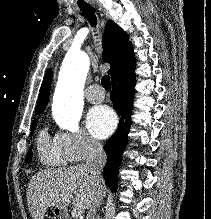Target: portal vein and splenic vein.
<instances>
[{
	"mask_svg": "<svg viewBox=\"0 0 211 219\" xmlns=\"http://www.w3.org/2000/svg\"><path fill=\"white\" fill-rule=\"evenodd\" d=\"M81 214V210L74 208L72 212V216L78 217Z\"/></svg>",
	"mask_w": 211,
	"mask_h": 219,
	"instance_id": "1",
	"label": "portal vein and splenic vein"
}]
</instances>
